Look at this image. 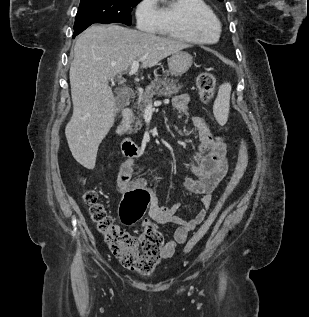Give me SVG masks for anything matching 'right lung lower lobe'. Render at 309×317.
<instances>
[{
  "mask_svg": "<svg viewBox=\"0 0 309 317\" xmlns=\"http://www.w3.org/2000/svg\"><path fill=\"white\" fill-rule=\"evenodd\" d=\"M91 24H88V25H85V26H82L78 29H74V34H73V38L78 35L79 33H81L83 30H85L87 27H89Z\"/></svg>",
  "mask_w": 309,
  "mask_h": 317,
  "instance_id": "1",
  "label": "right lung lower lobe"
}]
</instances>
